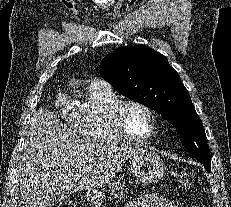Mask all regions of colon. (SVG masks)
Here are the masks:
<instances>
[{"label":"colon","mask_w":231,"mask_h":207,"mask_svg":"<svg viewBox=\"0 0 231 207\" xmlns=\"http://www.w3.org/2000/svg\"><path fill=\"white\" fill-rule=\"evenodd\" d=\"M176 182L184 187L189 188L191 186V180L188 173L184 171H179L174 174ZM51 207H75L74 204L71 201H64L58 204H54Z\"/></svg>","instance_id":"5ec220e1"}]
</instances>
